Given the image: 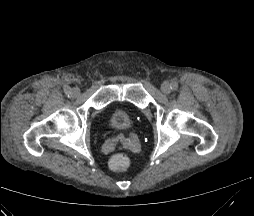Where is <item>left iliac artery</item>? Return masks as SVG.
Listing matches in <instances>:
<instances>
[{"label": "left iliac artery", "instance_id": "left-iliac-artery-1", "mask_svg": "<svg viewBox=\"0 0 254 216\" xmlns=\"http://www.w3.org/2000/svg\"><path fill=\"white\" fill-rule=\"evenodd\" d=\"M171 89H172V90H177V89H178V83L173 82V83L171 84Z\"/></svg>", "mask_w": 254, "mask_h": 216}]
</instances>
